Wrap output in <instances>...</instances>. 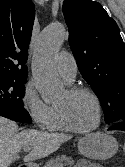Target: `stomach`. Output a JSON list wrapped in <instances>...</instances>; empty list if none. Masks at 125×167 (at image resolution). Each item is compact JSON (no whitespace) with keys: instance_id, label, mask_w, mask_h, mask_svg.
Listing matches in <instances>:
<instances>
[{"instance_id":"stomach-1","label":"stomach","mask_w":125,"mask_h":167,"mask_svg":"<svg viewBox=\"0 0 125 167\" xmlns=\"http://www.w3.org/2000/svg\"><path fill=\"white\" fill-rule=\"evenodd\" d=\"M79 152L93 160H106L111 158L118 150L117 140L102 132L88 134L78 142ZM29 167H37L30 165Z\"/></svg>"}]
</instances>
